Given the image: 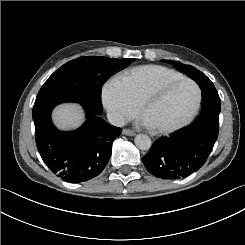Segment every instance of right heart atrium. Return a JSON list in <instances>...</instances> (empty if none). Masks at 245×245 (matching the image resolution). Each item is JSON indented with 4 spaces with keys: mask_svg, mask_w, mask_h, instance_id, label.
Returning a JSON list of instances; mask_svg holds the SVG:
<instances>
[{
    "mask_svg": "<svg viewBox=\"0 0 245 245\" xmlns=\"http://www.w3.org/2000/svg\"><path fill=\"white\" fill-rule=\"evenodd\" d=\"M103 102L116 123L129 121L137 112V103L122 87L112 82L103 89Z\"/></svg>",
    "mask_w": 245,
    "mask_h": 245,
    "instance_id": "1",
    "label": "right heart atrium"
}]
</instances>
